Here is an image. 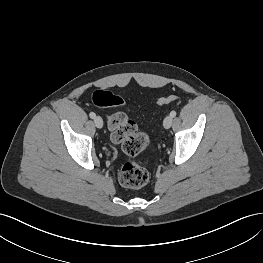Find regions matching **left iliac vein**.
Wrapping results in <instances>:
<instances>
[{
    "label": "left iliac vein",
    "instance_id": "left-iliac-vein-1",
    "mask_svg": "<svg viewBox=\"0 0 263 263\" xmlns=\"http://www.w3.org/2000/svg\"><path fill=\"white\" fill-rule=\"evenodd\" d=\"M172 122H173V117H171L170 115L166 116L164 121H163V126L166 129H169L171 127V125H172Z\"/></svg>",
    "mask_w": 263,
    "mask_h": 263
}]
</instances>
